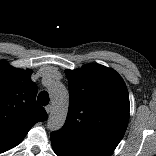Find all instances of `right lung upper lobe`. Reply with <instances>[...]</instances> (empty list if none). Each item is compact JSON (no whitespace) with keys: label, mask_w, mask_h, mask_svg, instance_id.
<instances>
[{"label":"right lung upper lobe","mask_w":156,"mask_h":156,"mask_svg":"<svg viewBox=\"0 0 156 156\" xmlns=\"http://www.w3.org/2000/svg\"><path fill=\"white\" fill-rule=\"evenodd\" d=\"M31 73L0 61V153L18 145L35 123L47 119L36 102L37 85Z\"/></svg>","instance_id":"obj_1"}]
</instances>
